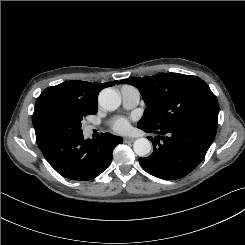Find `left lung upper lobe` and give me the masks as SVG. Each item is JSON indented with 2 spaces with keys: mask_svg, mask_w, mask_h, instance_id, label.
Instances as JSON below:
<instances>
[{
  "mask_svg": "<svg viewBox=\"0 0 245 245\" xmlns=\"http://www.w3.org/2000/svg\"><path fill=\"white\" fill-rule=\"evenodd\" d=\"M118 83L137 87L145 101L147 108L138 128L161 129L183 122H200L217 129V98L199 77L163 73Z\"/></svg>",
  "mask_w": 245,
  "mask_h": 245,
  "instance_id": "left-lung-upper-lobe-1",
  "label": "left lung upper lobe"
}]
</instances>
